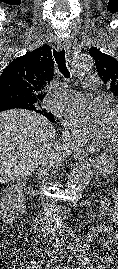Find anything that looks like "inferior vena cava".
Instances as JSON below:
<instances>
[{"label":"inferior vena cava","instance_id":"obj_1","mask_svg":"<svg viewBox=\"0 0 118 269\" xmlns=\"http://www.w3.org/2000/svg\"><path fill=\"white\" fill-rule=\"evenodd\" d=\"M59 149H60V145L56 144L54 146V152L53 154L45 161H43L39 166L40 168L39 170V174L40 177L46 175L47 170L51 167L57 166L60 162V157H59Z\"/></svg>","mask_w":118,"mask_h":269}]
</instances>
